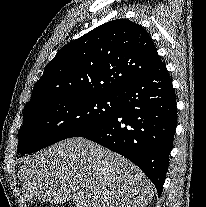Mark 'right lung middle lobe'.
I'll return each mask as SVG.
<instances>
[{"label":"right lung middle lobe","instance_id":"dd1d6c3e","mask_svg":"<svg viewBox=\"0 0 206 207\" xmlns=\"http://www.w3.org/2000/svg\"><path fill=\"white\" fill-rule=\"evenodd\" d=\"M119 107V95L52 99L25 110L18 132L20 154L38 151L96 126Z\"/></svg>","mask_w":206,"mask_h":207}]
</instances>
